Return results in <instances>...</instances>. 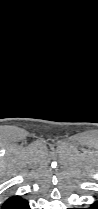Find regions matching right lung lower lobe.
I'll return each instance as SVG.
<instances>
[{"instance_id":"98d812e1","label":"right lung lower lobe","mask_w":98,"mask_h":209,"mask_svg":"<svg viewBox=\"0 0 98 209\" xmlns=\"http://www.w3.org/2000/svg\"><path fill=\"white\" fill-rule=\"evenodd\" d=\"M2 209H30L27 200L21 196H11L2 205Z\"/></svg>"}]
</instances>
